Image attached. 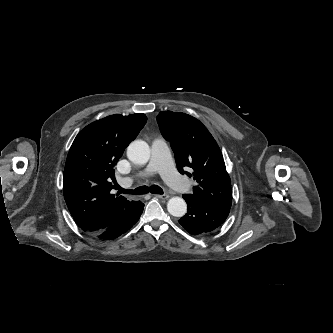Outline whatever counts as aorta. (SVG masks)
I'll return each instance as SVG.
<instances>
[{
    "label": "aorta",
    "instance_id": "obj_1",
    "mask_svg": "<svg viewBox=\"0 0 333 333\" xmlns=\"http://www.w3.org/2000/svg\"><path fill=\"white\" fill-rule=\"evenodd\" d=\"M127 157L135 164H146L150 159L149 145L142 140L133 141L127 148ZM168 212L175 217H182L187 211L186 202L180 197H172L167 203Z\"/></svg>",
    "mask_w": 333,
    "mask_h": 333
}]
</instances>
